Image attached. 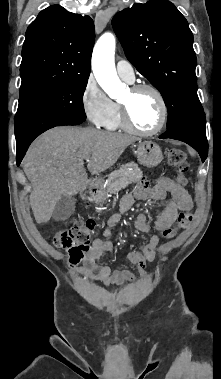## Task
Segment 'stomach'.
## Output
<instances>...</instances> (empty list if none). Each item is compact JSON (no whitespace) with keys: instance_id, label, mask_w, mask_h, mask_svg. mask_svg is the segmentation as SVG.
<instances>
[{"instance_id":"1","label":"stomach","mask_w":221,"mask_h":379,"mask_svg":"<svg viewBox=\"0 0 221 379\" xmlns=\"http://www.w3.org/2000/svg\"><path fill=\"white\" fill-rule=\"evenodd\" d=\"M136 154L139 162L148 168L158 166L163 160L161 148L152 141L140 142Z\"/></svg>"}]
</instances>
